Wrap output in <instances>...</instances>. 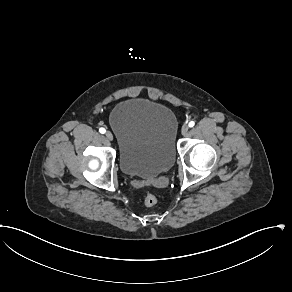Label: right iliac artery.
Listing matches in <instances>:
<instances>
[{
  "instance_id": "obj_1",
  "label": "right iliac artery",
  "mask_w": 292,
  "mask_h": 292,
  "mask_svg": "<svg viewBox=\"0 0 292 292\" xmlns=\"http://www.w3.org/2000/svg\"><path fill=\"white\" fill-rule=\"evenodd\" d=\"M99 132H100L101 134H104V133L106 132V130H105V128L102 127V128L99 129Z\"/></svg>"
}]
</instances>
